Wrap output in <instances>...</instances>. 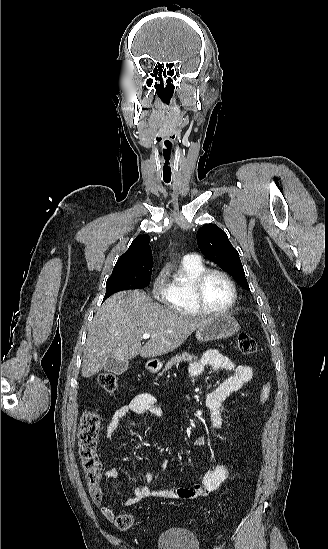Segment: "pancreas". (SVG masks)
I'll use <instances>...</instances> for the list:
<instances>
[{
	"label": "pancreas",
	"instance_id": "cf45deb5",
	"mask_svg": "<svg viewBox=\"0 0 328 549\" xmlns=\"http://www.w3.org/2000/svg\"><path fill=\"white\" fill-rule=\"evenodd\" d=\"M195 359H197V357H194V355H189V353H181V355H176V357H172L171 361H168L162 373H159L157 377H162L163 373H166L168 369H172L173 365H177V363H182V361H195Z\"/></svg>",
	"mask_w": 328,
	"mask_h": 549
}]
</instances>
